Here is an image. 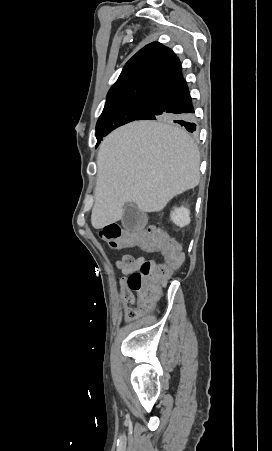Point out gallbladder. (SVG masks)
Here are the masks:
<instances>
[{
	"label": "gallbladder",
	"instance_id": "gallbladder-1",
	"mask_svg": "<svg viewBox=\"0 0 272 451\" xmlns=\"http://www.w3.org/2000/svg\"><path fill=\"white\" fill-rule=\"evenodd\" d=\"M148 222L147 214L141 212L134 204H126L123 208L122 226L126 229H143Z\"/></svg>",
	"mask_w": 272,
	"mask_h": 451
}]
</instances>
